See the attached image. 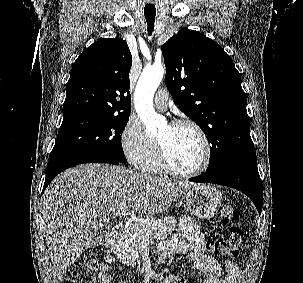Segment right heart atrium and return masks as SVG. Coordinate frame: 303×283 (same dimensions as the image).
Here are the masks:
<instances>
[{
	"mask_svg": "<svg viewBox=\"0 0 303 283\" xmlns=\"http://www.w3.org/2000/svg\"><path fill=\"white\" fill-rule=\"evenodd\" d=\"M121 148L127 160L134 166L143 165L156 150V143L149 137L140 122L129 119L120 136Z\"/></svg>",
	"mask_w": 303,
	"mask_h": 283,
	"instance_id": "1",
	"label": "right heart atrium"
}]
</instances>
